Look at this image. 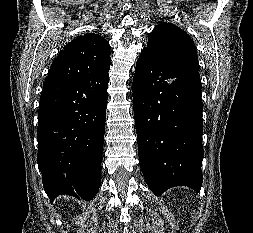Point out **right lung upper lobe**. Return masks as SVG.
I'll return each mask as SVG.
<instances>
[{
  "label": "right lung upper lobe",
  "mask_w": 253,
  "mask_h": 233,
  "mask_svg": "<svg viewBox=\"0 0 253 233\" xmlns=\"http://www.w3.org/2000/svg\"><path fill=\"white\" fill-rule=\"evenodd\" d=\"M109 43L96 33L69 42L53 61L47 81L101 73L109 69Z\"/></svg>",
  "instance_id": "1"
}]
</instances>
